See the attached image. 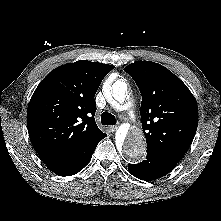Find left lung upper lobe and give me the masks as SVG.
Here are the masks:
<instances>
[{"instance_id":"obj_1","label":"left lung upper lobe","mask_w":221,"mask_h":221,"mask_svg":"<svg viewBox=\"0 0 221 221\" xmlns=\"http://www.w3.org/2000/svg\"><path fill=\"white\" fill-rule=\"evenodd\" d=\"M124 71L142 94L140 115L147 151L179 162L197 130L194 96L176 75L158 63L137 61Z\"/></svg>"}]
</instances>
